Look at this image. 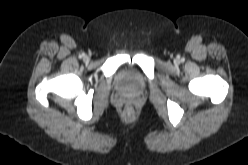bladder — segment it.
<instances>
[{
    "label": "bladder",
    "mask_w": 248,
    "mask_h": 165,
    "mask_svg": "<svg viewBox=\"0 0 248 165\" xmlns=\"http://www.w3.org/2000/svg\"><path fill=\"white\" fill-rule=\"evenodd\" d=\"M118 89L129 96H137L144 92L146 81L144 75L136 68L124 67L116 74Z\"/></svg>",
    "instance_id": "31cf9c89"
}]
</instances>
